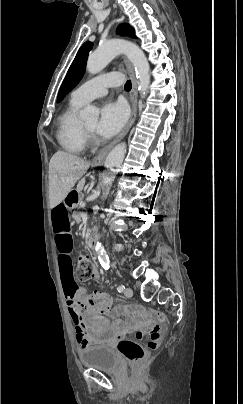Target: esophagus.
Here are the masks:
<instances>
[{
    "label": "esophagus",
    "instance_id": "esophagus-1",
    "mask_svg": "<svg viewBox=\"0 0 243 404\" xmlns=\"http://www.w3.org/2000/svg\"><path fill=\"white\" fill-rule=\"evenodd\" d=\"M124 64L128 70V73L131 78L132 82V90L130 92V101H131V107H132V112L129 121L127 122V125L124 127L120 135L116 137V139L112 140L109 144L105 145L99 152L98 154L94 157L93 163L96 165H100L103 163L105 157L107 156L108 152L112 149V147L117 144L125 135L128 133L130 128L132 127L135 119H136V114H137V104H138V90H137V80L135 77L134 69L131 63L124 58Z\"/></svg>",
    "mask_w": 243,
    "mask_h": 404
}]
</instances>
